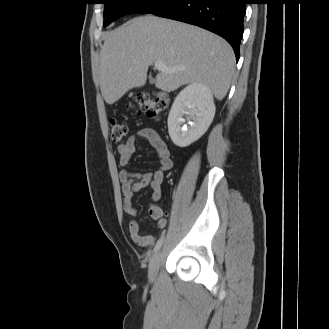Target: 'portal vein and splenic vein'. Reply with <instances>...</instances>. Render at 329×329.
Here are the masks:
<instances>
[{
    "mask_svg": "<svg viewBox=\"0 0 329 329\" xmlns=\"http://www.w3.org/2000/svg\"><path fill=\"white\" fill-rule=\"evenodd\" d=\"M154 66L159 71L175 72L176 69L168 68L162 61H156Z\"/></svg>",
    "mask_w": 329,
    "mask_h": 329,
    "instance_id": "portal-vein-and-splenic-vein-1",
    "label": "portal vein and splenic vein"
}]
</instances>
